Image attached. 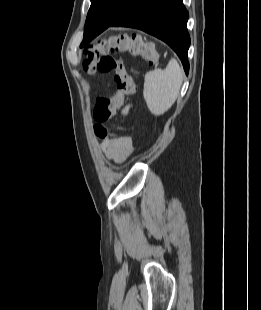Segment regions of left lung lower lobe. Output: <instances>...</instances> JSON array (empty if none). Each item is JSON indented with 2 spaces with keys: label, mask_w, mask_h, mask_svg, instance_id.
Returning <instances> with one entry per match:
<instances>
[{
  "label": "left lung lower lobe",
  "mask_w": 261,
  "mask_h": 310,
  "mask_svg": "<svg viewBox=\"0 0 261 310\" xmlns=\"http://www.w3.org/2000/svg\"><path fill=\"white\" fill-rule=\"evenodd\" d=\"M188 16L182 0H124L117 15L108 22L95 20L85 23L81 47L108 27L137 28L166 42L177 53L188 74Z\"/></svg>",
  "instance_id": "0a47b994"
}]
</instances>
